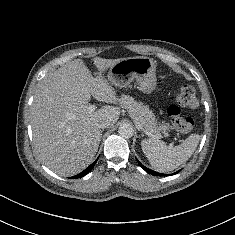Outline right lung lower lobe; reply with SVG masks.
Here are the masks:
<instances>
[{
  "label": "right lung lower lobe",
  "instance_id": "1",
  "mask_svg": "<svg viewBox=\"0 0 235 235\" xmlns=\"http://www.w3.org/2000/svg\"><path fill=\"white\" fill-rule=\"evenodd\" d=\"M97 162V160H95L88 168H86L84 171H82L81 173H79L78 175H75L73 177L70 178H81L83 176H85L87 173H89L92 168L94 167L95 163Z\"/></svg>",
  "mask_w": 235,
  "mask_h": 235
}]
</instances>
